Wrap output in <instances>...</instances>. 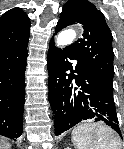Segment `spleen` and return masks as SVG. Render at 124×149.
Wrapping results in <instances>:
<instances>
[{"label":"spleen","instance_id":"3e777b00","mask_svg":"<svg viewBox=\"0 0 124 149\" xmlns=\"http://www.w3.org/2000/svg\"><path fill=\"white\" fill-rule=\"evenodd\" d=\"M94 130L90 125H79L72 131V142L76 149H119L118 139L110 128L104 126Z\"/></svg>","mask_w":124,"mask_h":149}]
</instances>
